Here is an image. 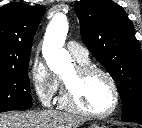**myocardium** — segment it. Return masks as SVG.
I'll return each mask as SVG.
<instances>
[{
    "mask_svg": "<svg viewBox=\"0 0 142 128\" xmlns=\"http://www.w3.org/2000/svg\"><path fill=\"white\" fill-rule=\"evenodd\" d=\"M79 79H84L93 74H100L110 83L114 93V104L112 108L104 113L90 112L84 109L77 101L73 89L63 80V94L61 97V105L69 111L88 118L103 119L113 115L120 105V92L115 79L109 72L95 65L79 64L75 67Z\"/></svg>",
    "mask_w": 142,
    "mask_h": 128,
    "instance_id": "f54148a6",
    "label": "myocardium"
}]
</instances>
